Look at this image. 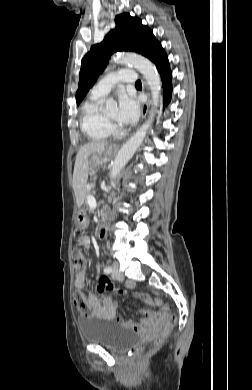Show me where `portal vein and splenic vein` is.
Segmentation results:
<instances>
[{"label":"portal vein and splenic vein","mask_w":252,"mask_h":390,"mask_svg":"<svg viewBox=\"0 0 252 390\" xmlns=\"http://www.w3.org/2000/svg\"><path fill=\"white\" fill-rule=\"evenodd\" d=\"M87 202H88V204H89L90 207L96 208L97 203H96V201H95V198H94L92 195H90V196L87 197Z\"/></svg>","instance_id":"1"}]
</instances>
